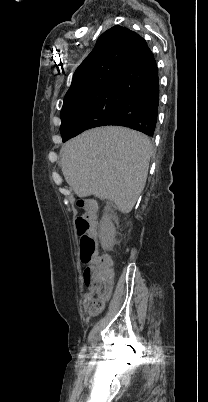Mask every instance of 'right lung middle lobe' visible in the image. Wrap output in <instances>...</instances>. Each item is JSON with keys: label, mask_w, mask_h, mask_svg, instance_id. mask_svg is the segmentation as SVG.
I'll use <instances>...</instances> for the list:
<instances>
[{"label": "right lung middle lobe", "mask_w": 208, "mask_h": 402, "mask_svg": "<svg viewBox=\"0 0 208 402\" xmlns=\"http://www.w3.org/2000/svg\"><path fill=\"white\" fill-rule=\"evenodd\" d=\"M119 98L118 88L112 81L65 96L61 123L111 113L118 108Z\"/></svg>", "instance_id": "right-lung-middle-lobe-1"}]
</instances>
